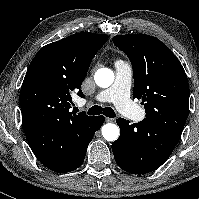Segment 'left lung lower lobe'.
Segmentation results:
<instances>
[{
	"label": "left lung lower lobe",
	"instance_id": "0a47b994",
	"mask_svg": "<svg viewBox=\"0 0 199 199\" xmlns=\"http://www.w3.org/2000/svg\"><path fill=\"white\" fill-rule=\"evenodd\" d=\"M116 122L120 136L112 143L114 158L121 169L133 174H145L159 168L181 136L180 132L147 119L135 124L123 118Z\"/></svg>",
	"mask_w": 199,
	"mask_h": 199
}]
</instances>
